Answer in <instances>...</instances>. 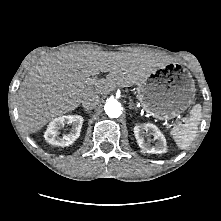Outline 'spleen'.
Here are the masks:
<instances>
[{"label": "spleen", "mask_w": 221, "mask_h": 221, "mask_svg": "<svg viewBox=\"0 0 221 221\" xmlns=\"http://www.w3.org/2000/svg\"><path fill=\"white\" fill-rule=\"evenodd\" d=\"M189 119L184 124L174 126L170 135L180 149L187 148L197 135L198 124L201 118V106L195 105L191 110Z\"/></svg>", "instance_id": "1"}]
</instances>
